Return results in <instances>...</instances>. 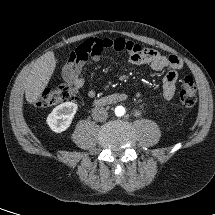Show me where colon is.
Here are the masks:
<instances>
[{
	"instance_id": "colon-1",
	"label": "colon",
	"mask_w": 215,
	"mask_h": 215,
	"mask_svg": "<svg viewBox=\"0 0 215 215\" xmlns=\"http://www.w3.org/2000/svg\"><path fill=\"white\" fill-rule=\"evenodd\" d=\"M76 99V91L66 85L56 89H46L35 101V106L48 108L62 103L73 102ZM197 87L192 77L187 76L183 80L182 89L179 95L183 107H192L196 103Z\"/></svg>"
}]
</instances>
